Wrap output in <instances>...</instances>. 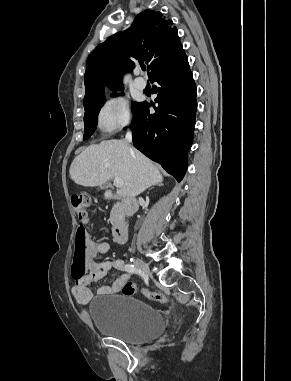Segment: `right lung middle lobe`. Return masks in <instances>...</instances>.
I'll list each match as a JSON object with an SVG mask.
<instances>
[{"mask_svg": "<svg viewBox=\"0 0 291 381\" xmlns=\"http://www.w3.org/2000/svg\"><path fill=\"white\" fill-rule=\"evenodd\" d=\"M122 87L112 89L113 91L122 90ZM117 95V94H113ZM105 103V96L102 95L99 98L84 104L85 109V115H84V123H85V130H84V136L83 139H88L93 132L95 131L96 125H97V116L98 113ZM139 103H133L132 110L134 111L135 108L138 106Z\"/></svg>", "mask_w": 291, "mask_h": 381, "instance_id": "obj_1", "label": "right lung middle lobe"}]
</instances>
